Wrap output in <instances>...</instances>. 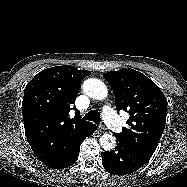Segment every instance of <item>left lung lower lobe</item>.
<instances>
[{"label": "left lung lower lobe", "mask_w": 187, "mask_h": 187, "mask_svg": "<svg viewBox=\"0 0 187 187\" xmlns=\"http://www.w3.org/2000/svg\"><path fill=\"white\" fill-rule=\"evenodd\" d=\"M101 156L106 171L115 175L131 174L151 158L149 154L126 148L119 139L114 150L102 152Z\"/></svg>", "instance_id": "left-lung-lower-lobe-1"}]
</instances>
